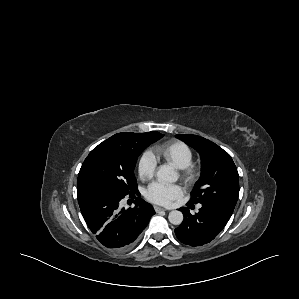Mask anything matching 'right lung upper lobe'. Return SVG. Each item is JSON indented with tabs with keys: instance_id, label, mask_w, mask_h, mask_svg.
<instances>
[{
	"instance_id": "obj_1",
	"label": "right lung upper lobe",
	"mask_w": 299,
	"mask_h": 299,
	"mask_svg": "<svg viewBox=\"0 0 299 299\" xmlns=\"http://www.w3.org/2000/svg\"><path fill=\"white\" fill-rule=\"evenodd\" d=\"M141 134H137V133H118V134H115L112 137L114 139L118 140L123 145L134 146L135 144L138 143Z\"/></svg>"
}]
</instances>
